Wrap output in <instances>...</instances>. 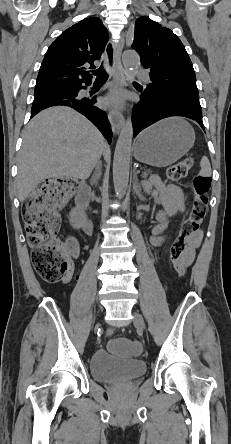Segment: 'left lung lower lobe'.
Segmentation results:
<instances>
[{
    "label": "left lung lower lobe",
    "mask_w": 231,
    "mask_h": 444,
    "mask_svg": "<svg viewBox=\"0 0 231 444\" xmlns=\"http://www.w3.org/2000/svg\"><path fill=\"white\" fill-rule=\"evenodd\" d=\"M171 116L191 118L204 130L199 99L144 90L133 113L134 136L158 120Z\"/></svg>",
    "instance_id": "0a47b994"
}]
</instances>
